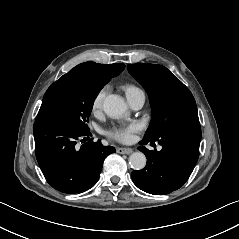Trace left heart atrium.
Here are the masks:
<instances>
[{
  "label": "left heart atrium",
  "instance_id": "left-heart-atrium-1",
  "mask_svg": "<svg viewBox=\"0 0 239 239\" xmlns=\"http://www.w3.org/2000/svg\"><path fill=\"white\" fill-rule=\"evenodd\" d=\"M142 129V124L139 121H133L129 123L118 122L113 124L108 130L107 134L111 138L129 143L134 139V134Z\"/></svg>",
  "mask_w": 239,
  "mask_h": 239
}]
</instances>
